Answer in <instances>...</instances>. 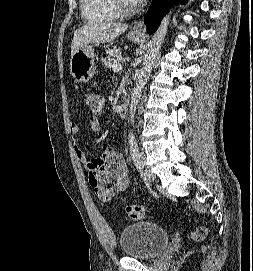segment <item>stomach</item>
Masks as SVG:
<instances>
[{
    "label": "stomach",
    "mask_w": 253,
    "mask_h": 271,
    "mask_svg": "<svg viewBox=\"0 0 253 271\" xmlns=\"http://www.w3.org/2000/svg\"><path fill=\"white\" fill-rule=\"evenodd\" d=\"M128 38L137 42L142 39V35L130 32ZM70 72L77 82H88L95 74V53L91 46H82L72 56L70 60Z\"/></svg>",
    "instance_id": "1"
}]
</instances>
